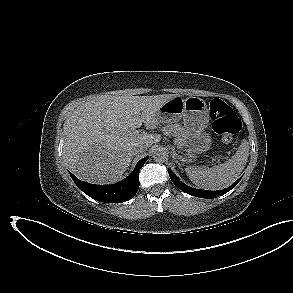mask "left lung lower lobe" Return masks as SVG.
I'll return each instance as SVG.
<instances>
[{
	"instance_id": "obj_1",
	"label": "left lung lower lobe",
	"mask_w": 293,
	"mask_h": 293,
	"mask_svg": "<svg viewBox=\"0 0 293 293\" xmlns=\"http://www.w3.org/2000/svg\"><path fill=\"white\" fill-rule=\"evenodd\" d=\"M169 176L172 180V182L182 191H184L187 194H190L192 196L200 197V198H216L219 197L228 191H230L232 188H234L237 183L240 181L242 177H240L234 184H232L230 187L224 189V190H218V191H208V190H200V189H195L192 187H189L185 184H183L175 175L172 173V171L168 170Z\"/></svg>"
}]
</instances>
